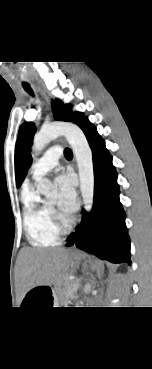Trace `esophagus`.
<instances>
[{
	"mask_svg": "<svg viewBox=\"0 0 152 369\" xmlns=\"http://www.w3.org/2000/svg\"><path fill=\"white\" fill-rule=\"evenodd\" d=\"M38 90L41 92V94L43 95L45 101L50 105V99L49 97L47 96V94L45 93V91L40 87L38 86Z\"/></svg>",
	"mask_w": 152,
	"mask_h": 369,
	"instance_id": "1",
	"label": "esophagus"
}]
</instances>
